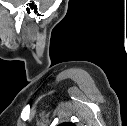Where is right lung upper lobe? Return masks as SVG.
I'll return each instance as SVG.
<instances>
[{
    "label": "right lung upper lobe",
    "mask_w": 127,
    "mask_h": 126,
    "mask_svg": "<svg viewBox=\"0 0 127 126\" xmlns=\"http://www.w3.org/2000/svg\"><path fill=\"white\" fill-rule=\"evenodd\" d=\"M59 126H75V125L73 123L66 122V123L60 124Z\"/></svg>",
    "instance_id": "right-lung-upper-lobe-1"
}]
</instances>
